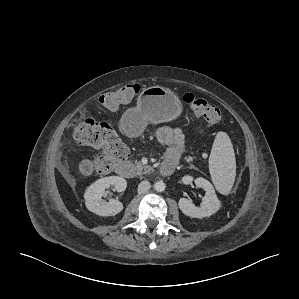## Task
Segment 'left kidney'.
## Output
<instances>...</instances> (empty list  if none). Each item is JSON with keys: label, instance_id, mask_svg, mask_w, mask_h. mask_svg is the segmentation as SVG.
I'll use <instances>...</instances> for the list:
<instances>
[{"label": "left kidney", "instance_id": "5707ae66", "mask_svg": "<svg viewBox=\"0 0 299 299\" xmlns=\"http://www.w3.org/2000/svg\"><path fill=\"white\" fill-rule=\"evenodd\" d=\"M184 184H190L193 181L191 176L182 178ZM195 185L205 190V196L202 198L200 206H195L191 200L180 198L179 208L187 216L192 218H203L211 216L220 209V201L217 198L213 185L206 179L199 177L194 180Z\"/></svg>", "mask_w": 299, "mask_h": 299}]
</instances>
